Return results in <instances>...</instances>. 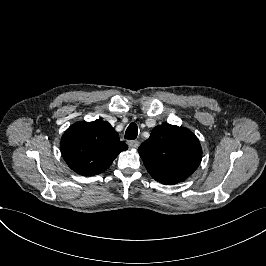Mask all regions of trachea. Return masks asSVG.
<instances>
[{
	"instance_id": "1",
	"label": "trachea",
	"mask_w": 266,
	"mask_h": 266,
	"mask_svg": "<svg viewBox=\"0 0 266 266\" xmlns=\"http://www.w3.org/2000/svg\"><path fill=\"white\" fill-rule=\"evenodd\" d=\"M138 135V128L137 125L135 123H131L125 133V139H136Z\"/></svg>"
}]
</instances>
